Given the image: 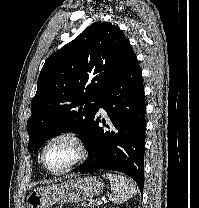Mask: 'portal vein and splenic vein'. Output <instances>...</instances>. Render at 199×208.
<instances>
[{"mask_svg":"<svg viewBox=\"0 0 199 208\" xmlns=\"http://www.w3.org/2000/svg\"><path fill=\"white\" fill-rule=\"evenodd\" d=\"M97 204H98V205H101V204H102V201H97Z\"/></svg>","mask_w":199,"mask_h":208,"instance_id":"18ae733b","label":"portal vein and splenic vein"}]
</instances>
